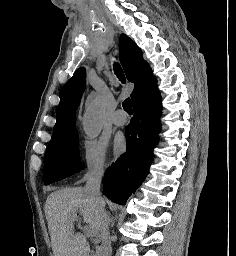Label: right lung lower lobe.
<instances>
[{
	"instance_id": "98d812e1",
	"label": "right lung lower lobe",
	"mask_w": 236,
	"mask_h": 256,
	"mask_svg": "<svg viewBox=\"0 0 236 256\" xmlns=\"http://www.w3.org/2000/svg\"><path fill=\"white\" fill-rule=\"evenodd\" d=\"M134 117L125 129L127 152L107 169L103 190L113 202L125 205L144 181L153 161L161 130V96L155 85L133 103Z\"/></svg>"
}]
</instances>
